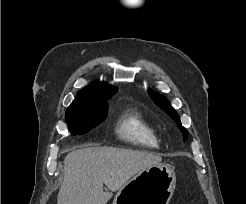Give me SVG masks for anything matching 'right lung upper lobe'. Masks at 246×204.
Returning a JSON list of instances; mask_svg holds the SVG:
<instances>
[{
  "instance_id": "right-lung-upper-lobe-1",
  "label": "right lung upper lobe",
  "mask_w": 246,
  "mask_h": 204,
  "mask_svg": "<svg viewBox=\"0 0 246 204\" xmlns=\"http://www.w3.org/2000/svg\"><path fill=\"white\" fill-rule=\"evenodd\" d=\"M117 91V87L105 82L95 81L82 89L69 107L83 105L91 99L99 97H112Z\"/></svg>"
}]
</instances>
